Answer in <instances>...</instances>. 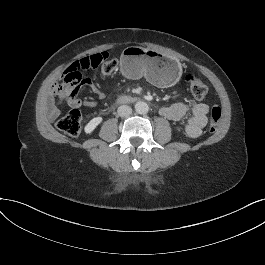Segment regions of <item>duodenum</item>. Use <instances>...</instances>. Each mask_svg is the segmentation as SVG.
Listing matches in <instances>:
<instances>
[{
  "instance_id": "410a0bca",
  "label": "duodenum",
  "mask_w": 265,
  "mask_h": 265,
  "mask_svg": "<svg viewBox=\"0 0 265 265\" xmlns=\"http://www.w3.org/2000/svg\"><path fill=\"white\" fill-rule=\"evenodd\" d=\"M119 101L120 102H130V101H133V99L128 98V97H123V98H120Z\"/></svg>"
}]
</instances>
